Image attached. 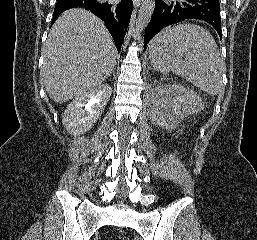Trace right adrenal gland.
I'll return each instance as SVG.
<instances>
[{"label":"right adrenal gland","mask_w":257,"mask_h":240,"mask_svg":"<svg viewBox=\"0 0 257 240\" xmlns=\"http://www.w3.org/2000/svg\"><path fill=\"white\" fill-rule=\"evenodd\" d=\"M111 74H113V77H115V68L112 70L109 76H111Z\"/></svg>","instance_id":"1"}]
</instances>
